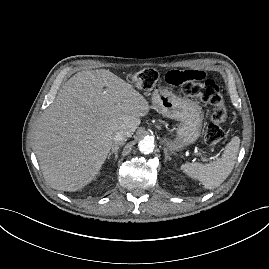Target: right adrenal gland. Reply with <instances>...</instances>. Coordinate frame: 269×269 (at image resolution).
I'll return each mask as SVG.
<instances>
[{"label": "right adrenal gland", "instance_id": "obj_1", "mask_svg": "<svg viewBox=\"0 0 269 269\" xmlns=\"http://www.w3.org/2000/svg\"><path fill=\"white\" fill-rule=\"evenodd\" d=\"M124 143H118V144H115L113 147H112V150L111 152H109L108 154V159H110L111 155L114 154V157H115V160H117L118 158V149L123 146Z\"/></svg>", "mask_w": 269, "mask_h": 269}]
</instances>
